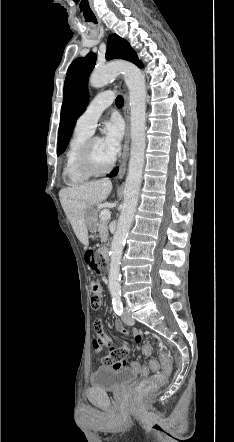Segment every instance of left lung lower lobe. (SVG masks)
Instances as JSON below:
<instances>
[{
    "instance_id": "obj_1",
    "label": "left lung lower lobe",
    "mask_w": 234,
    "mask_h": 442,
    "mask_svg": "<svg viewBox=\"0 0 234 442\" xmlns=\"http://www.w3.org/2000/svg\"><path fill=\"white\" fill-rule=\"evenodd\" d=\"M138 67H143V65L142 64H140ZM117 172H118V168H115L113 171H112V173L109 175V177H114L116 174H117Z\"/></svg>"
}]
</instances>
